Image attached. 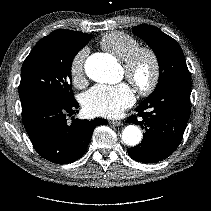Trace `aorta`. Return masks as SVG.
<instances>
[{
	"label": "aorta",
	"mask_w": 211,
	"mask_h": 211,
	"mask_svg": "<svg viewBox=\"0 0 211 211\" xmlns=\"http://www.w3.org/2000/svg\"><path fill=\"white\" fill-rule=\"evenodd\" d=\"M85 72L89 78L99 83H113L118 80L116 65L104 55H93L86 60ZM142 133L135 125H128L122 132V140L129 146L141 141Z\"/></svg>",
	"instance_id": "obj_1"
}]
</instances>
